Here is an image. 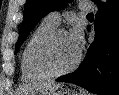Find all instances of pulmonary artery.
I'll list each match as a JSON object with an SVG mask.
<instances>
[{
    "label": "pulmonary artery",
    "mask_w": 119,
    "mask_h": 95,
    "mask_svg": "<svg viewBox=\"0 0 119 95\" xmlns=\"http://www.w3.org/2000/svg\"><path fill=\"white\" fill-rule=\"evenodd\" d=\"M79 9L82 11H91L93 9L92 5L87 2H81L79 4ZM46 19L50 22L58 25L61 20V15L59 12H51L46 16Z\"/></svg>",
    "instance_id": "pulmonary-artery-1"
}]
</instances>
